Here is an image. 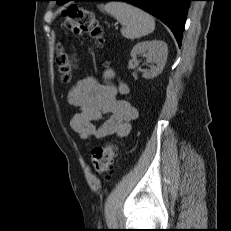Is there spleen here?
<instances>
[{
  "label": "spleen",
  "instance_id": "3e777b00",
  "mask_svg": "<svg viewBox=\"0 0 231 231\" xmlns=\"http://www.w3.org/2000/svg\"><path fill=\"white\" fill-rule=\"evenodd\" d=\"M98 7L120 22L121 34L127 39L141 38L155 29V21L150 14L128 3L109 2Z\"/></svg>",
  "mask_w": 231,
  "mask_h": 231
}]
</instances>
